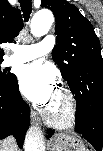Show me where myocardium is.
<instances>
[{
    "label": "myocardium",
    "mask_w": 103,
    "mask_h": 151,
    "mask_svg": "<svg viewBox=\"0 0 103 151\" xmlns=\"http://www.w3.org/2000/svg\"><path fill=\"white\" fill-rule=\"evenodd\" d=\"M58 93L61 95L64 101V112L63 114L57 116L54 115L49 108H46L43 111V117L45 121L56 128H68L72 126L77 118V107H76V102L75 98L72 94V92L66 88V87H61L58 90Z\"/></svg>",
    "instance_id": "myocardium-1"
}]
</instances>
